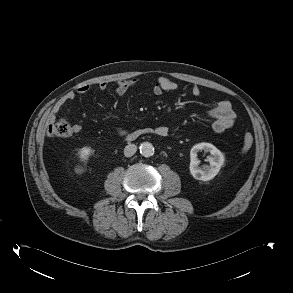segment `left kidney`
<instances>
[{
    "label": "left kidney",
    "instance_id": "obj_1",
    "mask_svg": "<svg viewBox=\"0 0 293 293\" xmlns=\"http://www.w3.org/2000/svg\"><path fill=\"white\" fill-rule=\"evenodd\" d=\"M201 150L209 152L212 156L208 158L210 165L200 168L197 153ZM190 173L191 175L201 181H209L213 179L220 171L224 164L225 158L223 153L210 143H198L194 145L190 151Z\"/></svg>",
    "mask_w": 293,
    "mask_h": 293
}]
</instances>
